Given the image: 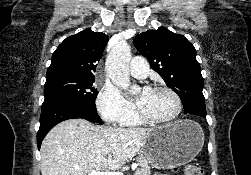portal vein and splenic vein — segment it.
<instances>
[{"mask_svg": "<svg viewBox=\"0 0 251 175\" xmlns=\"http://www.w3.org/2000/svg\"><path fill=\"white\" fill-rule=\"evenodd\" d=\"M137 165L138 163H132L131 169H136ZM88 175H124V173L122 171H115V169H108V171H95L93 169Z\"/></svg>", "mask_w": 251, "mask_h": 175, "instance_id": "1", "label": "portal vein and splenic vein"}]
</instances>
